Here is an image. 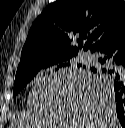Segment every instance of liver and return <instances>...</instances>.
I'll return each instance as SVG.
<instances>
[{
    "label": "liver",
    "mask_w": 125,
    "mask_h": 128,
    "mask_svg": "<svg viewBox=\"0 0 125 128\" xmlns=\"http://www.w3.org/2000/svg\"><path fill=\"white\" fill-rule=\"evenodd\" d=\"M113 93L86 71L62 69L42 80L28 97L30 110L18 128H119Z\"/></svg>",
    "instance_id": "obj_1"
}]
</instances>
